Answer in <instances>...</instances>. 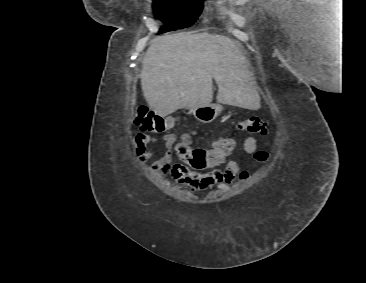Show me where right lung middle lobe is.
Wrapping results in <instances>:
<instances>
[{
    "label": "right lung middle lobe",
    "mask_w": 366,
    "mask_h": 283,
    "mask_svg": "<svg viewBox=\"0 0 366 283\" xmlns=\"http://www.w3.org/2000/svg\"><path fill=\"white\" fill-rule=\"evenodd\" d=\"M202 8L203 0H154V12L164 21L159 33L191 26Z\"/></svg>",
    "instance_id": "right-lung-middle-lobe-1"
}]
</instances>
